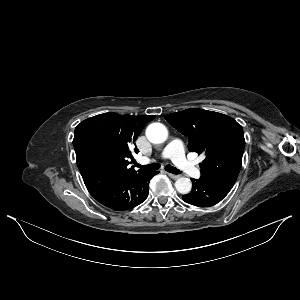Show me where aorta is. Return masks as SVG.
<instances>
[{
	"mask_svg": "<svg viewBox=\"0 0 300 300\" xmlns=\"http://www.w3.org/2000/svg\"><path fill=\"white\" fill-rule=\"evenodd\" d=\"M146 137L153 144H160L167 140V128L158 122L150 124L146 129ZM176 190L181 194H188L191 191L192 183L190 179L180 177L175 182Z\"/></svg>",
	"mask_w": 300,
	"mask_h": 300,
	"instance_id": "762f6f07",
	"label": "aorta"
}]
</instances>
